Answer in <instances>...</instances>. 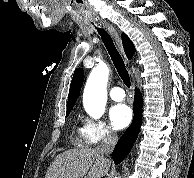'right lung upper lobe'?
Listing matches in <instances>:
<instances>
[{
	"label": "right lung upper lobe",
	"instance_id": "cb5924a9",
	"mask_svg": "<svg viewBox=\"0 0 194 178\" xmlns=\"http://www.w3.org/2000/svg\"><path fill=\"white\" fill-rule=\"evenodd\" d=\"M121 37H122V42H123L125 53H126L127 57L129 59H131L133 54L135 53L134 44L128 38V36L125 35L124 33H122ZM83 80H84V71L82 68H77L74 71V75H73L71 85H70V91H69V95H68L67 112L71 111V109L73 108V106L77 100V96L80 93L81 86L83 84Z\"/></svg>",
	"mask_w": 194,
	"mask_h": 178
}]
</instances>
